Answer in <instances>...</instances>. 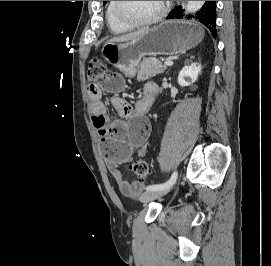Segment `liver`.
<instances>
[{
  "mask_svg": "<svg viewBox=\"0 0 271 266\" xmlns=\"http://www.w3.org/2000/svg\"><path fill=\"white\" fill-rule=\"evenodd\" d=\"M148 30H149V28H142L136 32H132V33L125 34L122 36L114 37V38L108 40L107 43H117V42L130 41V40H133V39L137 38L138 36L144 34Z\"/></svg>",
  "mask_w": 271,
  "mask_h": 266,
  "instance_id": "1",
  "label": "liver"
}]
</instances>
